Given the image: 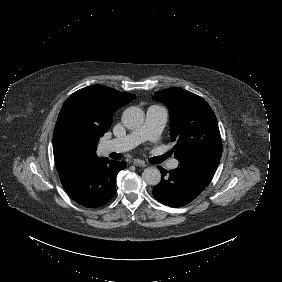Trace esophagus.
Masks as SVG:
<instances>
[{
    "mask_svg": "<svg viewBox=\"0 0 282 282\" xmlns=\"http://www.w3.org/2000/svg\"><path fill=\"white\" fill-rule=\"evenodd\" d=\"M132 163L135 165V166H139V167H145L146 164L143 160H140V159H134L132 160Z\"/></svg>",
    "mask_w": 282,
    "mask_h": 282,
    "instance_id": "34e87169",
    "label": "esophagus"
}]
</instances>
